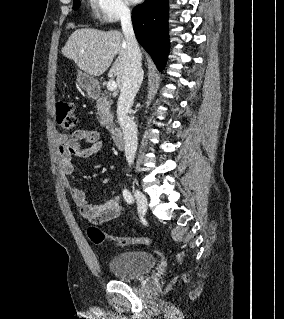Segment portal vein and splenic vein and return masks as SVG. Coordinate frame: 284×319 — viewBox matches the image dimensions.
Instances as JSON below:
<instances>
[{
	"instance_id": "obj_1",
	"label": "portal vein and splenic vein",
	"mask_w": 284,
	"mask_h": 319,
	"mask_svg": "<svg viewBox=\"0 0 284 319\" xmlns=\"http://www.w3.org/2000/svg\"><path fill=\"white\" fill-rule=\"evenodd\" d=\"M107 89L109 91H115L117 89V83L114 81V80H110L108 83H107Z\"/></svg>"
}]
</instances>
